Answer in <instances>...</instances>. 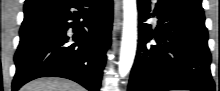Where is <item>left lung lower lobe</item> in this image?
<instances>
[{
	"label": "left lung lower lobe",
	"mask_w": 220,
	"mask_h": 91,
	"mask_svg": "<svg viewBox=\"0 0 220 91\" xmlns=\"http://www.w3.org/2000/svg\"><path fill=\"white\" fill-rule=\"evenodd\" d=\"M137 2L139 21L157 15L158 25L152 30L139 24L128 91H214L204 13L171 0H158L154 13H148L150 0Z\"/></svg>",
	"instance_id": "1"
}]
</instances>
